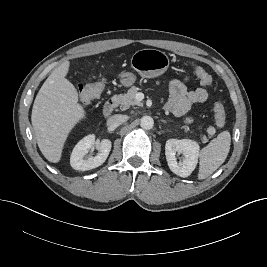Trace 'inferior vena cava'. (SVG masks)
Wrapping results in <instances>:
<instances>
[{"mask_svg":"<svg viewBox=\"0 0 267 267\" xmlns=\"http://www.w3.org/2000/svg\"><path fill=\"white\" fill-rule=\"evenodd\" d=\"M126 121H127V117L125 115L116 114L108 118L107 125L110 128H116Z\"/></svg>","mask_w":267,"mask_h":267,"instance_id":"1","label":"inferior vena cava"}]
</instances>
